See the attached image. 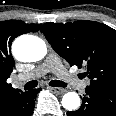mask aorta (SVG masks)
I'll list each match as a JSON object with an SVG mask.
<instances>
[{
	"label": "aorta",
	"instance_id": "obj_1",
	"mask_svg": "<svg viewBox=\"0 0 116 116\" xmlns=\"http://www.w3.org/2000/svg\"><path fill=\"white\" fill-rule=\"evenodd\" d=\"M15 58L22 62H36L43 59L47 53L44 40L33 35L19 36L12 45ZM62 106L73 111L80 107V98L76 92H68L62 98Z\"/></svg>",
	"mask_w": 116,
	"mask_h": 116
}]
</instances>
